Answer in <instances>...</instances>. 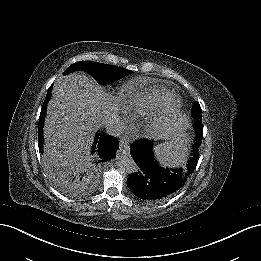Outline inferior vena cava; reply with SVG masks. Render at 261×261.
Here are the masks:
<instances>
[{"label": "inferior vena cava", "mask_w": 261, "mask_h": 261, "mask_svg": "<svg viewBox=\"0 0 261 261\" xmlns=\"http://www.w3.org/2000/svg\"><path fill=\"white\" fill-rule=\"evenodd\" d=\"M104 128L107 134L119 137L124 132V123L118 117H112L104 122Z\"/></svg>", "instance_id": "602c4592"}]
</instances>
